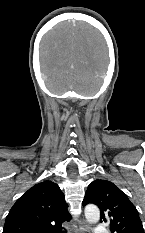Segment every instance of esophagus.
<instances>
[{
  "instance_id": "obj_1",
  "label": "esophagus",
  "mask_w": 145,
  "mask_h": 233,
  "mask_svg": "<svg viewBox=\"0 0 145 233\" xmlns=\"http://www.w3.org/2000/svg\"><path fill=\"white\" fill-rule=\"evenodd\" d=\"M89 225L85 220H81L79 223V227L74 229V233H88Z\"/></svg>"
}]
</instances>
